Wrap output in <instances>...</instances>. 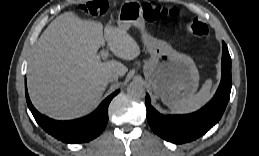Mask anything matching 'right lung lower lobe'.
I'll return each instance as SVG.
<instances>
[{
	"instance_id": "98d812e1",
	"label": "right lung lower lobe",
	"mask_w": 259,
	"mask_h": 156,
	"mask_svg": "<svg viewBox=\"0 0 259 156\" xmlns=\"http://www.w3.org/2000/svg\"><path fill=\"white\" fill-rule=\"evenodd\" d=\"M119 90L108 96L90 115L77 120L57 121L40 114L32 105L27 87L26 101L36 122L49 134L65 143H83L99 136L108 122V106Z\"/></svg>"
}]
</instances>
